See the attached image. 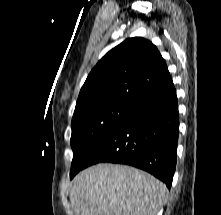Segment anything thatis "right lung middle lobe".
<instances>
[{"label":"right lung middle lobe","instance_id":"obj_1","mask_svg":"<svg viewBox=\"0 0 221 215\" xmlns=\"http://www.w3.org/2000/svg\"><path fill=\"white\" fill-rule=\"evenodd\" d=\"M134 104L108 100L77 106L72 118L70 178L85 168L91 154Z\"/></svg>","mask_w":221,"mask_h":215}]
</instances>
